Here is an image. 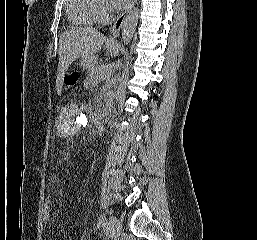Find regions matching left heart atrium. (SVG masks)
I'll list each match as a JSON object with an SVG mask.
<instances>
[{"mask_svg":"<svg viewBox=\"0 0 257 240\" xmlns=\"http://www.w3.org/2000/svg\"><path fill=\"white\" fill-rule=\"evenodd\" d=\"M130 0H110L111 4L115 8H123L125 7Z\"/></svg>","mask_w":257,"mask_h":240,"instance_id":"obj_1","label":"left heart atrium"}]
</instances>
